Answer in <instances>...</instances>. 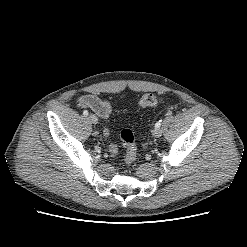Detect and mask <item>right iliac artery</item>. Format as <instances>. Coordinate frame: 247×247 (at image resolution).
I'll list each match as a JSON object with an SVG mask.
<instances>
[{
    "label": "right iliac artery",
    "mask_w": 247,
    "mask_h": 247,
    "mask_svg": "<svg viewBox=\"0 0 247 247\" xmlns=\"http://www.w3.org/2000/svg\"><path fill=\"white\" fill-rule=\"evenodd\" d=\"M83 114H84L85 116H87V115H88V111H87V110H84V111H83Z\"/></svg>",
    "instance_id": "obj_1"
}]
</instances>
